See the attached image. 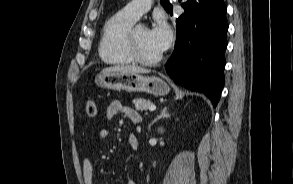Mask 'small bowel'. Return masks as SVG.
Returning a JSON list of instances; mask_svg holds the SVG:
<instances>
[{"label":"small bowel","mask_w":293,"mask_h":184,"mask_svg":"<svg viewBox=\"0 0 293 184\" xmlns=\"http://www.w3.org/2000/svg\"><path fill=\"white\" fill-rule=\"evenodd\" d=\"M117 114H123L133 123H139L141 121V116L136 110L129 106L123 105L120 101H112L106 109V116L108 119H112ZM98 135L100 139H104L107 136V131L105 129H101ZM128 143L132 149H137L138 140L135 135H130L128 137ZM82 175L84 184H93L94 167L88 157H85L82 161ZM139 182V179L128 180L126 184H138Z\"/></svg>","instance_id":"obj_1"}]
</instances>
